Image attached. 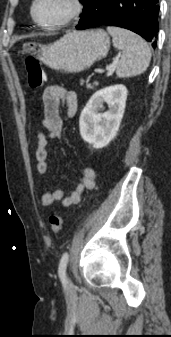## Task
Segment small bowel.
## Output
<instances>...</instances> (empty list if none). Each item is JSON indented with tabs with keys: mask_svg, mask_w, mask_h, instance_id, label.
Returning <instances> with one entry per match:
<instances>
[{
	"mask_svg": "<svg viewBox=\"0 0 171 337\" xmlns=\"http://www.w3.org/2000/svg\"><path fill=\"white\" fill-rule=\"evenodd\" d=\"M61 105L65 106L68 117H74L78 109L76 93L60 85L46 87L43 93V118L37 133V149L35 153L37 171L41 175L46 174L48 170V140H58L62 136ZM43 129L47 131V135L44 134ZM95 181V169L86 167L70 193L66 194L61 189L48 190L42 194L40 205L41 207H48L54 202H58L62 208L75 205L79 203L85 190L94 188Z\"/></svg>",
	"mask_w": 171,
	"mask_h": 337,
	"instance_id": "c3829d8e",
	"label": "small bowel"
}]
</instances>
